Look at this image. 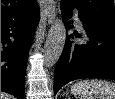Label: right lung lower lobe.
Wrapping results in <instances>:
<instances>
[{
  "instance_id": "right-lung-lower-lobe-1",
  "label": "right lung lower lobe",
  "mask_w": 115,
  "mask_h": 99,
  "mask_svg": "<svg viewBox=\"0 0 115 99\" xmlns=\"http://www.w3.org/2000/svg\"><path fill=\"white\" fill-rule=\"evenodd\" d=\"M39 21L36 0L1 13V91L25 99V71L35 28Z\"/></svg>"
}]
</instances>
